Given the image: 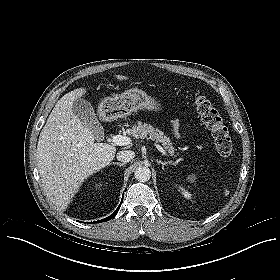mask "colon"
<instances>
[{
  "label": "colon",
  "instance_id": "obj_1",
  "mask_svg": "<svg viewBox=\"0 0 280 280\" xmlns=\"http://www.w3.org/2000/svg\"><path fill=\"white\" fill-rule=\"evenodd\" d=\"M194 103L202 122L212 134L217 152L222 157H229L232 153V142L219 111L202 96H196Z\"/></svg>",
  "mask_w": 280,
  "mask_h": 280
}]
</instances>
